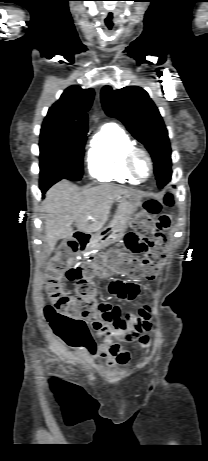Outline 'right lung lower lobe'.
I'll return each instance as SVG.
<instances>
[{
    "instance_id": "1",
    "label": "right lung lower lobe",
    "mask_w": 208,
    "mask_h": 461,
    "mask_svg": "<svg viewBox=\"0 0 208 461\" xmlns=\"http://www.w3.org/2000/svg\"><path fill=\"white\" fill-rule=\"evenodd\" d=\"M59 180H55V181H52L46 185H43V186H40V189L42 191V193L44 194L53 184H55L56 182H58Z\"/></svg>"
}]
</instances>
